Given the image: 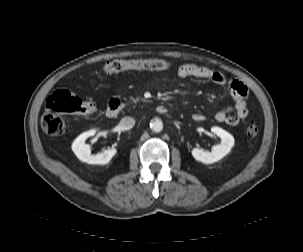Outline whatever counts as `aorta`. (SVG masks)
<instances>
[{
    "instance_id": "762f6f07",
    "label": "aorta",
    "mask_w": 303,
    "mask_h": 252,
    "mask_svg": "<svg viewBox=\"0 0 303 252\" xmlns=\"http://www.w3.org/2000/svg\"><path fill=\"white\" fill-rule=\"evenodd\" d=\"M150 128L154 132H160L163 129V122L158 118L153 119L150 123Z\"/></svg>"
}]
</instances>
